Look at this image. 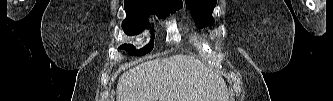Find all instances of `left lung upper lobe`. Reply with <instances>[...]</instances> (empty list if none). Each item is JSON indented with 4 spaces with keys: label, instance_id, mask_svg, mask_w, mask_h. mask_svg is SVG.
Here are the masks:
<instances>
[{
    "label": "left lung upper lobe",
    "instance_id": "1",
    "mask_svg": "<svg viewBox=\"0 0 333 101\" xmlns=\"http://www.w3.org/2000/svg\"><path fill=\"white\" fill-rule=\"evenodd\" d=\"M217 0H186V6L193 14L197 26L203 28L213 24L211 16Z\"/></svg>",
    "mask_w": 333,
    "mask_h": 101
}]
</instances>
